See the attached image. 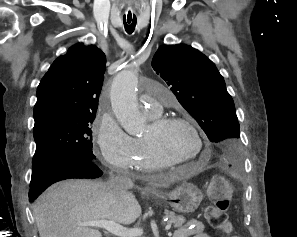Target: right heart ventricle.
<instances>
[{
	"label": "right heart ventricle",
	"mask_w": 297,
	"mask_h": 237,
	"mask_svg": "<svg viewBox=\"0 0 297 237\" xmlns=\"http://www.w3.org/2000/svg\"><path fill=\"white\" fill-rule=\"evenodd\" d=\"M154 118V116H151ZM135 162L133 168L143 172H149L165 168L160 166L150 155L142 138H135Z\"/></svg>",
	"instance_id": "e07e8e85"
}]
</instances>
